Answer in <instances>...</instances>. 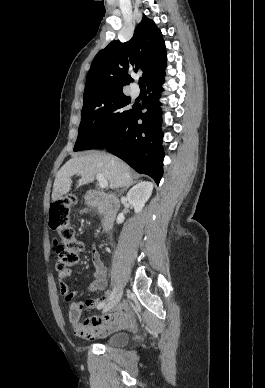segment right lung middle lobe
I'll return each mask as SVG.
<instances>
[{
  "label": "right lung middle lobe",
  "mask_w": 265,
  "mask_h": 388,
  "mask_svg": "<svg viewBox=\"0 0 265 388\" xmlns=\"http://www.w3.org/2000/svg\"><path fill=\"white\" fill-rule=\"evenodd\" d=\"M131 99L122 90H104L84 98L74 151L105 148L132 113L125 110Z\"/></svg>",
  "instance_id": "right-lung-middle-lobe-1"
}]
</instances>
